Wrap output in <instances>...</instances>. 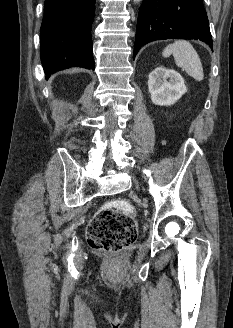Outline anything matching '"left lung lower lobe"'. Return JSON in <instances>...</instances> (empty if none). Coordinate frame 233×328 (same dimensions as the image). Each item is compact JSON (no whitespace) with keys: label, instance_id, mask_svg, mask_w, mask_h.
Here are the masks:
<instances>
[{"label":"left lung lower lobe","instance_id":"1","mask_svg":"<svg viewBox=\"0 0 233 328\" xmlns=\"http://www.w3.org/2000/svg\"><path fill=\"white\" fill-rule=\"evenodd\" d=\"M174 38L199 39L213 47L202 0H144L137 21L133 59L144 44Z\"/></svg>","mask_w":233,"mask_h":328}]
</instances>
